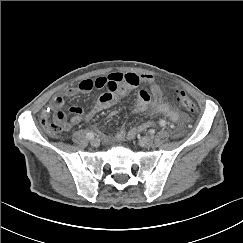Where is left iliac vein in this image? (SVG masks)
<instances>
[{
    "mask_svg": "<svg viewBox=\"0 0 243 243\" xmlns=\"http://www.w3.org/2000/svg\"><path fill=\"white\" fill-rule=\"evenodd\" d=\"M153 144H154V141L151 137L144 136L139 139V145L141 147L149 148V147L153 146Z\"/></svg>",
    "mask_w": 243,
    "mask_h": 243,
    "instance_id": "left-iliac-vein-1",
    "label": "left iliac vein"
}]
</instances>
